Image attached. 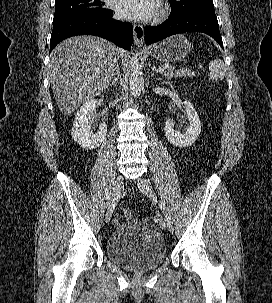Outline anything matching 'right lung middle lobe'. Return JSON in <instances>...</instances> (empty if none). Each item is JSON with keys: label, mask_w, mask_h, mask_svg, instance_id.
Segmentation results:
<instances>
[{"label": "right lung middle lobe", "mask_w": 272, "mask_h": 303, "mask_svg": "<svg viewBox=\"0 0 272 303\" xmlns=\"http://www.w3.org/2000/svg\"><path fill=\"white\" fill-rule=\"evenodd\" d=\"M100 0H63L55 2L53 21H59L81 13H107L111 10L105 8Z\"/></svg>", "instance_id": "obj_1"}]
</instances>
